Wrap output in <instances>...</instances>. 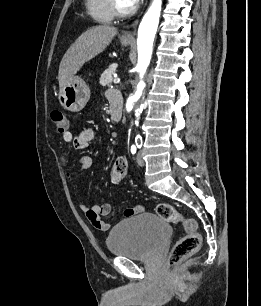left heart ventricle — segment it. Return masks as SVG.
Listing matches in <instances>:
<instances>
[{"instance_id":"left-heart-ventricle-1","label":"left heart ventricle","mask_w":261,"mask_h":306,"mask_svg":"<svg viewBox=\"0 0 261 306\" xmlns=\"http://www.w3.org/2000/svg\"><path fill=\"white\" fill-rule=\"evenodd\" d=\"M117 4L121 7V8H129L131 5H129L127 3L126 0H116Z\"/></svg>"}]
</instances>
